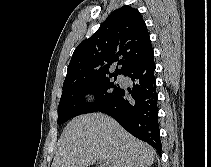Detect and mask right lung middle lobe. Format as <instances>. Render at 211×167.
I'll return each instance as SVG.
<instances>
[{
	"label": "right lung middle lobe",
	"instance_id": "obj_1",
	"mask_svg": "<svg viewBox=\"0 0 211 167\" xmlns=\"http://www.w3.org/2000/svg\"><path fill=\"white\" fill-rule=\"evenodd\" d=\"M117 75L110 77H96L86 79L71 85L63 86L59 103L58 124H62L72 117L96 112L108 105L122 90L115 83ZM114 77L115 80L110 79ZM92 93L96 96V104H89L83 98Z\"/></svg>",
	"mask_w": 211,
	"mask_h": 167
}]
</instances>
